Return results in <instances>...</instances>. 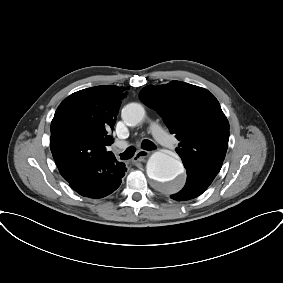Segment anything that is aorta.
Wrapping results in <instances>:
<instances>
[{
    "label": "aorta",
    "mask_w": 283,
    "mask_h": 283,
    "mask_svg": "<svg viewBox=\"0 0 283 283\" xmlns=\"http://www.w3.org/2000/svg\"><path fill=\"white\" fill-rule=\"evenodd\" d=\"M145 110L141 104H127L121 113L124 123L128 126H136L142 122ZM147 175L154 180L163 190L177 192L184 185V168L180 160L165 152L153 153L146 166Z\"/></svg>",
    "instance_id": "obj_1"
}]
</instances>
